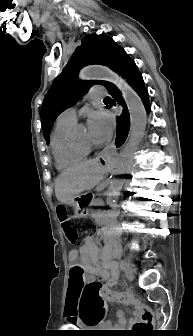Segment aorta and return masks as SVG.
<instances>
[{"instance_id":"762f6f07","label":"aorta","mask_w":193,"mask_h":336,"mask_svg":"<svg viewBox=\"0 0 193 336\" xmlns=\"http://www.w3.org/2000/svg\"><path fill=\"white\" fill-rule=\"evenodd\" d=\"M79 77L82 80L101 79L115 84L121 91L129 111L131 123L130 138L114 165L113 178L109 186L110 196L112 197L110 204L115 206V198L120 195L124 185L123 176L130 171L137 146L144 136L147 124L146 110L135 90L118 74L106 66L95 65L85 67L81 70Z\"/></svg>"}]
</instances>
